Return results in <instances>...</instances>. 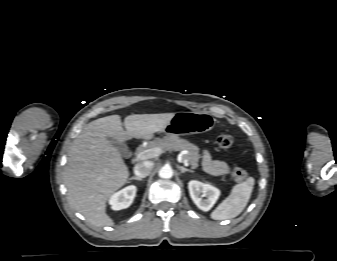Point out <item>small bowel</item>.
<instances>
[{"instance_id": "obj_1", "label": "small bowel", "mask_w": 337, "mask_h": 261, "mask_svg": "<svg viewBox=\"0 0 337 261\" xmlns=\"http://www.w3.org/2000/svg\"><path fill=\"white\" fill-rule=\"evenodd\" d=\"M202 166L207 173L215 176L224 175L229 169L226 162L213 159L208 151L203 152Z\"/></svg>"}]
</instances>
